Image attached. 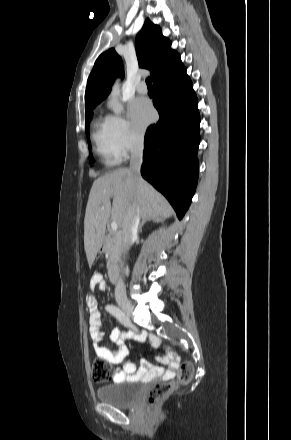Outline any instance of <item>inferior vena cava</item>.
Wrapping results in <instances>:
<instances>
[{"label":"inferior vena cava","instance_id":"inferior-vena-cava-1","mask_svg":"<svg viewBox=\"0 0 291 440\" xmlns=\"http://www.w3.org/2000/svg\"><path fill=\"white\" fill-rule=\"evenodd\" d=\"M143 162V139L135 141L131 151L130 171L134 174L135 179L140 178V169ZM140 220L139 208L132 203L125 214L122 225V243L123 248L128 249L134 238L137 236V230ZM115 300L118 303L127 301L126 289L122 279H120L115 287Z\"/></svg>","mask_w":291,"mask_h":440}]
</instances>
